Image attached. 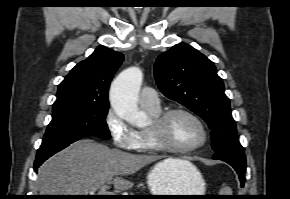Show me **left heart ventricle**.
<instances>
[{
	"instance_id": "b2bd125f",
	"label": "left heart ventricle",
	"mask_w": 290,
	"mask_h": 199,
	"mask_svg": "<svg viewBox=\"0 0 290 199\" xmlns=\"http://www.w3.org/2000/svg\"><path fill=\"white\" fill-rule=\"evenodd\" d=\"M164 138L170 144L188 148L202 140V131L199 125L190 117L183 114L173 115L167 122Z\"/></svg>"
}]
</instances>
